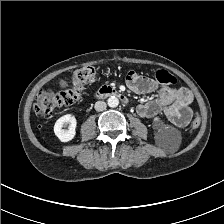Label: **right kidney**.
Wrapping results in <instances>:
<instances>
[{
  "mask_svg": "<svg viewBox=\"0 0 224 224\" xmlns=\"http://www.w3.org/2000/svg\"><path fill=\"white\" fill-rule=\"evenodd\" d=\"M65 124H69L68 130L62 129ZM76 118L71 115L67 114L60 117L55 125H54V133L62 142H68L72 140L76 135Z\"/></svg>",
  "mask_w": 224,
  "mask_h": 224,
  "instance_id": "1",
  "label": "right kidney"
}]
</instances>
